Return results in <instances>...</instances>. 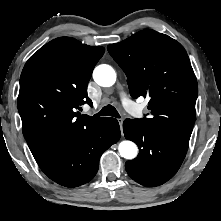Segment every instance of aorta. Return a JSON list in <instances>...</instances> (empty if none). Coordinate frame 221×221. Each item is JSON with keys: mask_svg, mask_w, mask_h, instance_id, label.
Returning <instances> with one entry per match:
<instances>
[{"mask_svg": "<svg viewBox=\"0 0 221 221\" xmlns=\"http://www.w3.org/2000/svg\"><path fill=\"white\" fill-rule=\"evenodd\" d=\"M93 78L98 85L110 87L116 81V73L111 66L102 64L94 69ZM118 150L122 157L129 160L134 159L138 154L136 144L129 140L122 141L118 146Z\"/></svg>", "mask_w": 221, "mask_h": 221, "instance_id": "762f6f07", "label": "aorta"}]
</instances>
